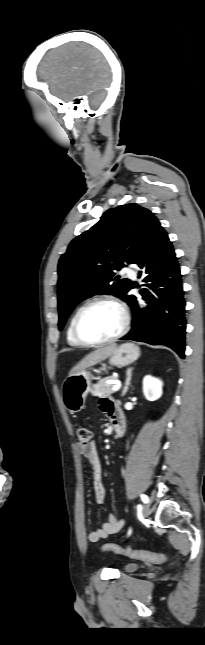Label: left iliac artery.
Segmentation results:
<instances>
[{
    "label": "left iliac artery",
    "mask_w": 205,
    "mask_h": 645,
    "mask_svg": "<svg viewBox=\"0 0 205 645\" xmlns=\"http://www.w3.org/2000/svg\"><path fill=\"white\" fill-rule=\"evenodd\" d=\"M141 500L144 503H148V501H149L148 497L146 495H144V494L141 495ZM130 533H131V530H129L128 535H130Z\"/></svg>",
    "instance_id": "1"
}]
</instances>
